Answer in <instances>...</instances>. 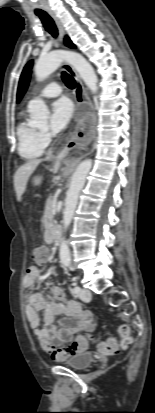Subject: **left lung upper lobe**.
<instances>
[{
	"label": "left lung upper lobe",
	"instance_id": "1",
	"mask_svg": "<svg viewBox=\"0 0 155 413\" xmlns=\"http://www.w3.org/2000/svg\"><path fill=\"white\" fill-rule=\"evenodd\" d=\"M65 44L70 48H75V45L70 41L68 37H65ZM33 61H30L23 69V72L20 77L18 92H17V102H19L24 95L30 79L31 68Z\"/></svg>",
	"mask_w": 155,
	"mask_h": 413
}]
</instances>
